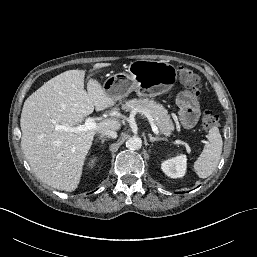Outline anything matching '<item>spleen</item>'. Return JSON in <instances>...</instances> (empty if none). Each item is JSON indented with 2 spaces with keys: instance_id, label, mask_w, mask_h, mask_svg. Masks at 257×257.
<instances>
[{
  "instance_id": "3e777b00",
  "label": "spleen",
  "mask_w": 257,
  "mask_h": 257,
  "mask_svg": "<svg viewBox=\"0 0 257 257\" xmlns=\"http://www.w3.org/2000/svg\"><path fill=\"white\" fill-rule=\"evenodd\" d=\"M207 139L201 155L193 165L196 174L202 179L209 177L217 168L223 146L222 137L217 127H212L209 130Z\"/></svg>"
}]
</instances>
